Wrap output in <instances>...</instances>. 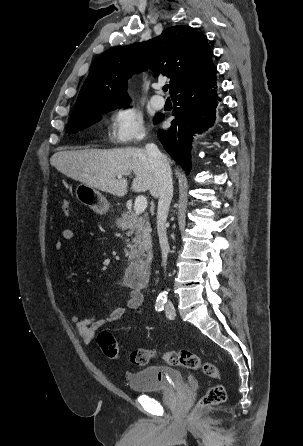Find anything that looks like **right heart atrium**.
<instances>
[{
  "mask_svg": "<svg viewBox=\"0 0 303 446\" xmlns=\"http://www.w3.org/2000/svg\"><path fill=\"white\" fill-rule=\"evenodd\" d=\"M145 136L142 113L131 104L122 105L114 110L108 137L115 144H129Z\"/></svg>",
  "mask_w": 303,
  "mask_h": 446,
  "instance_id": "d8ad5b80",
  "label": "right heart atrium"
}]
</instances>
